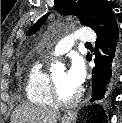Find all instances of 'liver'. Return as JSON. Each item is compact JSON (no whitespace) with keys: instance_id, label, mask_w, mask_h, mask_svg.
Here are the masks:
<instances>
[{"instance_id":"obj_1","label":"liver","mask_w":122,"mask_h":123,"mask_svg":"<svg viewBox=\"0 0 122 123\" xmlns=\"http://www.w3.org/2000/svg\"><path fill=\"white\" fill-rule=\"evenodd\" d=\"M59 117L58 109L25 104L15 109L11 123H57Z\"/></svg>"}]
</instances>
